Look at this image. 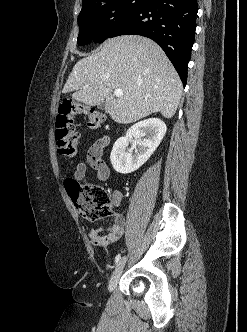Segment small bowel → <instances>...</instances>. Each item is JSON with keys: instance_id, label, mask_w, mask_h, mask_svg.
I'll return each mask as SVG.
<instances>
[{"instance_id": "small-bowel-1", "label": "small bowel", "mask_w": 247, "mask_h": 332, "mask_svg": "<svg viewBox=\"0 0 247 332\" xmlns=\"http://www.w3.org/2000/svg\"><path fill=\"white\" fill-rule=\"evenodd\" d=\"M107 136L101 137L94 143L88 152V163L96 171L97 178L100 181H106L109 178L110 170L102 159L104 147L108 144ZM87 165L83 162L79 163L74 172V179L77 181H87ZM112 204L116 207L120 206L122 194L120 191H114L111 196ZM126 219L122 214H116L112 220L111 226L103 231L99 228H91L88 232L89 239L94 246H107L121 238L124 233Z\"/></svg>"}]
</instances>
